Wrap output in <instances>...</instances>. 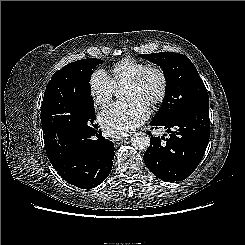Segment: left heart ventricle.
I'll return each instance as SVG.
<instances>
[{"label": "left heart ventricle", "instance_id": "1", "mask_svg": "<svg viewBox=\"0 0 245 245\" xmlns=\"http://www.w3.org/2000/svg\"><path fill=\"white\" fill-rule=\"evenodd\" d=\"M160 88L159 78L155 74H151L145 83L140 87H125V98L130 99L133 97H138L148 102V100L156 95Z\"/></svg>", "mask_w": 245, "mask_h": 245}]
</instances>
